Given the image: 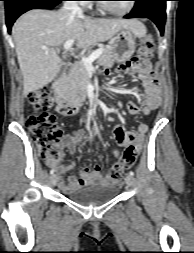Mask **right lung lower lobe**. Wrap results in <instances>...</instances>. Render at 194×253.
Masks as SVG:
<instances>
[{
    "label": "right lung lower lobe",
    "mask_w": 194,
    "mask_h": 253,
    "mask_svg": "<svg viewBox=\"0 0 194 253\" xmlns=\"http://www.w3.org/2000/svg\"><path fill=\"white\" fill-rule=\"evenodd\" d=\"M5 1V16L8 32L15 20L31 9H51L59 6L65 0H3Z\"/></svg>",
    "instance_id": "obj_1"
}]
</instances>
